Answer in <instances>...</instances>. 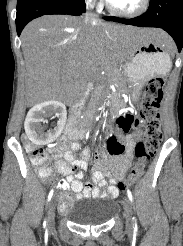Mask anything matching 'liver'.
I'll return each instance as SVG.
<instances>
[{
  "label": "liver",
  "instance_id": "obj_1",
  "mask_svg": "<svg viewBox=\"0 0 183 246\" xmlns=\"http://www.w3.org/2000/svg\"><path fill=\"white\" fill-rule=\"evenodd\" d=\"M134 40L172 45L159 29L107 25L85 17L45 15L22 31L26 65L25 89L30 104L65 100L79 95L90 73L125 61L127 46Z\"/></svg>",
  "mask_w": 183,
  "mask_h": 246
}]
</instances>
